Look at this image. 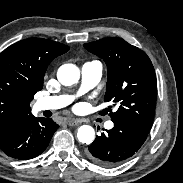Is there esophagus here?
<instances>
[{"label":"esophagus","instance_id":"1","mask_svg":"<svg viewBox=\"0 0 183 183\" xmlns=\"http://www.w3.org/2000/svg\"><path fill=\"white\" fill-rule=\"evenodd\" d=\"M81 122H83V121L78 120V119H68V120H66V124L69 125V126H76Z\"/></svg>","mask_w":183,"mask_h":183}]
</instances>
